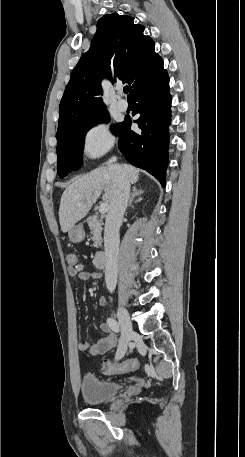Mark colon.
Instances as JSON below:
<instances>
[{"label":"colon","mask_w":245,"mask_h":457,"mask_svg":"<svg viewBox=\"0 0 245 457\" xmlns=\"http://www.w3.org/2000/svg\"><path fill=\"white\" fill-rule=\"evenodd\" d=\"M67 262L72 268L78 267V261L75 254L67 255ZM139 367V362L137 359L129 358L124 359L119 362H113L110 360H105L103 363V372L105 374H120L134 371Z\"/></svg>","instance_id":"5ec220e1"}]
</instances>
